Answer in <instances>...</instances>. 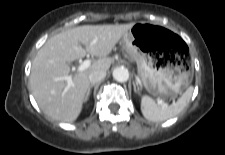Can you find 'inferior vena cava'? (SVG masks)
I'll use <instances>...</instances> for the list:
<instances>
[{"instance_id":"602c4592","label":"inferior vena cava","mask_w":225,"mask_h":155,"mask_svg":"<svg viewBox=\"0 0 225 155\" xmlns=\"http://www.w3.org/2000/svg\"><path fill=\"white\" fill-rule=\"evenodd\" d=\"M106 76V71L99 69V70H95L93 72L90 73L89 75V81L91 84H95L97 82H100L102 79H104Z\"/></svg>"}]
</instances>
